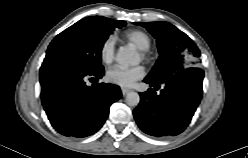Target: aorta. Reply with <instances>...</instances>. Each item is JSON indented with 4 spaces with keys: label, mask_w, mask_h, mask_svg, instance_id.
Wrapping results in <instances>:
<instances>
[{
    "label": "aorta",
    "mask_w": 248,
    "mask_h": 158,
    "mask_svg": "<svg viewBox=\"0 0 248 158\" xmlns=\"http://www.w3.org/2000/svg\"><path fill=\"white\" fill-rule=\"evenodd\" d=\"M116 61L123 67L133 66L139 63V56L132 48L123 46L117 52ZM125 100L129 106L136 107L140 102V96L137 92H129Z\"/></svg>",
    "instance_id": "1"
}]
</instances>
